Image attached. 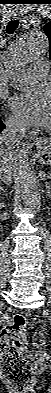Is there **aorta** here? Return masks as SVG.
Instances as JSON below:
<instances>
[{"label":"aorta","mask_w":51,"mask_h":393,"mask_svg":"<svg viewBox=\"0 0 51 393\" xmlns=\"http://www.w3.org/2000/svg\"><path fill=\"white\" fill-rule=\"evenodd\" d=\"M49 42L43 32H30L20 35L11 46L10 58L13 64L24 66L29 62L47 55ZM30 143L19 147L14 159L21 198L25 206L32 211H39L41 195L33 171L29 165Z\"/></svg>","instance_id":"aorta-1"}]
</instances>
